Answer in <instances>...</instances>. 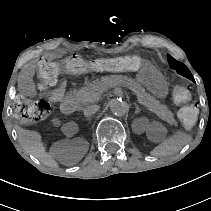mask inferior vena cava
Here are the masks:
<instances>
[{"label":"inferior vena cava","mask_w":211,"mask_h":211,"mask_svg":"<svg viewBox=\"0 0 211 211\" xmlns=\"http://www.w3.org/2000/svg\"><path fill=\"white\" fill-rule=\"evenodd\" d=\"M100 109L99 105L91 104L84 108V115L86 117L91 116L92 114L96 113Z\"/></svg>","instance_id":"602c4592"}]
</instances>
